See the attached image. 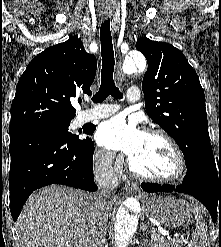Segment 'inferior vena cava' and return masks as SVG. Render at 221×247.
<instances>
[{
	"label": "inferior vena cava",
	"instance_id": "1",
	"mask_svg": "<svg viewBox=\"0 0 221 247\" xmlns=\"http://www.w3.org/2000/svg\"><path fill=\"white\" fill-rule=\"evenodd\" d=\"M114 154H102L95 166L94 177L99 190L93 195L95 225L92 229V246L104 247L108 221V199L113 189L118 186V176L115 173L112 160Z\"/></svg>",
	"mask_w": 221,
	"mask_h": 247
}]
</instances>
